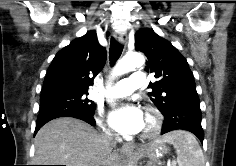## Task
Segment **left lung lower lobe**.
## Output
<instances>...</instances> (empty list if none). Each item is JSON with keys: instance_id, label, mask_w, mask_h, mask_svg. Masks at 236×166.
Masks as SVG:
<instances>
[{"instance_id": "1", "label": "left lung lower lobe", "mask_w": 236, "mask_h": 166, "mask_svg": "<svg viewBox=\"0 0 236 166\" xmlns=\"http://www.w3.org/2000/svg\"><path fill=\"white\" fill-rule=\"evenodd\" d=\"M163 115L165 119L161 134L179 129L187 130L195 134L203 144L204 132L199 100L193 99L184 108L170 110Z\"/></svg>"}]
</instances>
